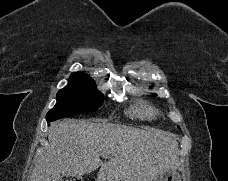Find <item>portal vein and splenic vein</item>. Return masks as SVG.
Returning a JSON list of instances; mask_svg holds the SVG:
<instances>
[{
    "label": "portal vein and splenic vein",
    "instance_id": "portal-vein-and-splenic-vein-1",
    "mask_svg": "<svg viewBox=\"0 0 228 181\" xmlns=\"http://www.w3.org/2000/svg\"><path fill=\"white\" fill-rule=\"evenodd\" d=\"M102 157H104V159H107V155H102Z\"/></svg>",
    "mask_w": 228,
    "mask_h": 181
}]
</instances>
